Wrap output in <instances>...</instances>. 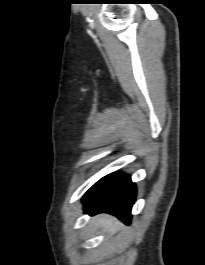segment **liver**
<instances>
[{"instance_id": "obj_1", "label": "liver", "mask_w": 205, "mask_h": 265, "mask_svg": "<svg viewBox=\"0 0 205 265\" xmlns=\"http://www.w3.org/2000/svg\"><path fill=\"white\" fill-rule=\"evenodd\" d=\"M97 222L98 224L105 226L110 231H112L116 226V223H113L112 219L104 216L99 217Z\"/></svg>"}]
</instances>
